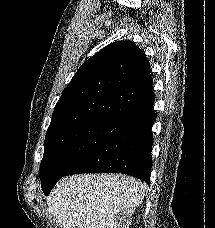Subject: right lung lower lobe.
<instances>
[{
	"label": "right lung lower lobe",
	"instance_id": "right-lung-lower-lobe-1",
	"mask_svg": "<svg viewBox=\"0 0 215 228\" xmlns=\"http://www.w3.org/2000/svg\"><path fill=\"white\" fill-rule=\"evenodd\" d=\"M156 116L153 110L150 114L127 123L64 176L77 173H123L149 184L153 145L151 130Z\"/></svg>",
	"mask_w": 215,
	"mask_h": 228
}]
</instances>
